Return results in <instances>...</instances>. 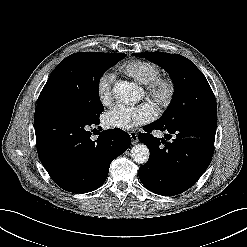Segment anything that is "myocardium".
Segmentation results:
<instances>
[{
	"instance_id": "f54148a6",
	"label": "myocardium",
	"mask_w": 247,
	"mask_h": 247,
	"mask_svg": "<svg viewBox=\"0 0 247 247\" xmlns=\"http://www.w3.org/2000/svg\"><path fill=\"white\" fill-rule=\"evenodd\" d=\"M177 87L173 79L158 77L146 84V94L162 110L170 106L176 95Z\"/></svg>"
}]
</instances>
